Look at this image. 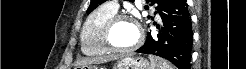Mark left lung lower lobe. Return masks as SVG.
Instances as JSON below:
<instances>
[{
	"instance_id": "obj_1",
	"label": "left lung lower lobe",
	"mask_w": 246,
	"mask_h": 69,
	"mask_svg": "<svg viewBox=\"0 0 246 69\" xmlns=\"http://www.w3.org/2000/svg\"><path fill=\"white\" fill-rule=\"evenodd\" d=\"M159 15L163 26L157 25V35L148 33L136 52L163 57L179 69H190L193 32L186 0H170Z\"/></svg>"
}]
</instances>
